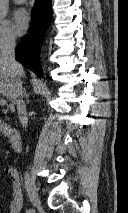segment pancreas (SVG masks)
<instances>
[{
	"mask_svg": "<svg viewBox=\"0 0 128 213\" xmlns=\"http://www.w3.org/2000/svg\"><path fill=\"white\" fill-rule=\"evenodd\" d=\"M0 132H3V134H6V125L2 122L0 119Z\"/></svg>",
	"mask_w": 128,
	"mask_h": 213,
	"instance_id": "cf45deb5",
	"label": "pancreas"
}]
</instances>
